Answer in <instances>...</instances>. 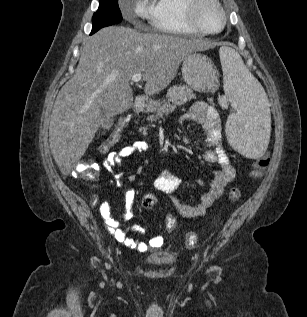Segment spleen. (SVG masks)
Wrapping results in <instances>:
<instances>
[{"label":"spleen","instance_id":"obj_1","mask_svg":"<svg viewBox=\"0 0 307 317\" xmlns=\"http://www.w3.org/2000/svg\"><path fill=\"white\" fill-rule=\"evenodd\" d=\"M219 54L225 94L237 104V113L226 123L228 141L243 155L259 157L269 141L272 107L267 94L235 50L221 47Z\"/></svg>","mask_w":307,"mask_h":317}]
</instances>
